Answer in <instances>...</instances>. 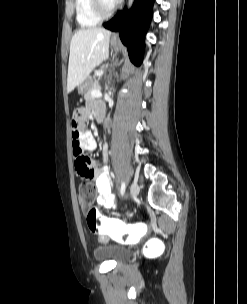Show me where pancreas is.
<instances>
[{"instance_id": "1", "label": "pancreas", "mask_w": 247, "mask_h": 304, "mask_svg": "<svg viewBox=\"0 0 247 304\" xmlns=\"http://www.w3.org/2000/svg\"><path fill=\"white\" fill-rule=\"evenodd\" d=\"M92 90H100V85H99L98 81L91 82L90 84H88L86 86H83L80 89V92L84 94V99L85 100L92 99V96H91V91Z\"/></svg>"}]
</instances>
